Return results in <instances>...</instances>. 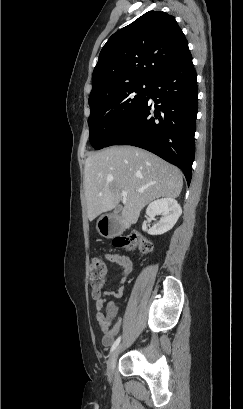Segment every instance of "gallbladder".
<instances>
[{"mask_svg": "<svg viewBox=\"0 0 243 409\" xmlns=\"http://www.w3.org/2000/svg\"><path fill=\"white\" fill-rule=\"evenodd\" d=\"M120 209H121V206H117L116 209H115V213H118L120 211Z\"/></svg>", "mask_w": 243, "mask_h": 409, "instance_id": "1", "label": "gallbladder"}]
</instances>
